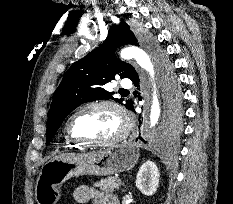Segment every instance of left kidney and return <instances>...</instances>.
Listing matches in <instances>:
<instances>
[{"label": "left kidney", "mask_w": 233, "mask_h": 204, "mask_svg": "<svg viewBox=\"0 0 233 204\" xmlns=\"http://www.w3.org/2000/svg\"><path fill=\"white\" fill-rule=\"evenodd\" d=\"M160 172L156 164L146 161L139 169L136 176V187L146 196L153 195L158 188Z\"/></svg>", "instance_id": "obj_1"}]
</instances>
